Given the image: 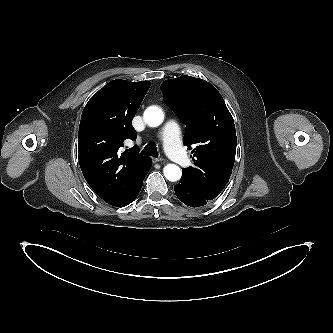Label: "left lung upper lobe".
<instances>
[{"label":"left lung upper lobe","instance_id":"left-lung-upper-lobe-1","mask_svg":"<svg viewBox=\"0 0 333 333\" xmlns=\"http://www.w3.org/2000/svg\"><path fill=\"white\" fill-rule=\"evenodd\" d=\"M166 104L187 126L185 145L194 165L182 168V178L215 199L226 186L236 154L233 118L221 94L208 82L191 76L165 80Z\"/></svg>","mask_w":333,"mask_h":333}]
</instances>
